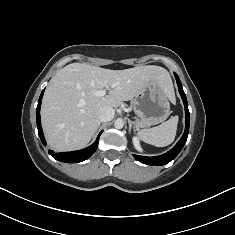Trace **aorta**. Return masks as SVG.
<instances>
[{
  "instance_id": "obj_1",
  "label": "aorta",
  "mask_w": 235,
  "mask_h": 235,
  "mask_svg": "<svg viewBox=\"0 0 235 235\" xmlns=\"http://www.w3.org/2000/svg\"><path fill=\"white\" fill-rule=\"evenodd\" d=\"M123 126H124V122H123L122 119H117V120L115 121V123H114V127H115L116 129H122Z\"/></svg>"
}]
</instances>
